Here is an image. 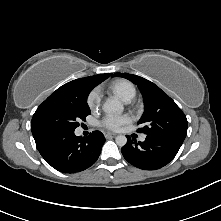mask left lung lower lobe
<instances>
[{
  "label": "left lung lower lobe",
  "mask_w": 221,
  "mask_h": 221,
  "mask_svg": "<svg viewBox=\"0 0 221 221\" xmlns=\"http://www.w3.org/2000/svg\"><path fill=\"white\" fill-rule=\"evenodd\" d=\"M122 147L124 158L144 170H156L168 164L179 151L184 139L167 136H147L144 142L131 140Z\"/></svg>",
  "instance_id": "0a47b994"
}]
</instances>
